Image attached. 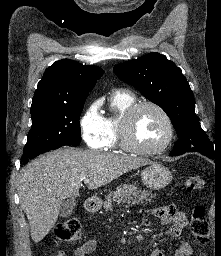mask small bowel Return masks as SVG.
Wrapping results in <instances>:
<instances>
[{
    "instance_id": "c3829d8e",
    "label": "small bowel",
    "mask_w": 221,
    "mask_h": 256,
    "mask_svg": "<svg viewBox=\"0 0 221 256\" xmlns=\"http://www.w3.org/2000/svg\"><path fill=\"white\" fill-rule=\"evenodd\" d=\"M151 213L159 218L162 224H171L167 231V235L179 239L177 248L175 249L174 256H192L193 249L191 245L182 238V232L187 224L185 215L178 211L174 205H166L153 209ZM99 245L96 239H90L83 242L78 246L73 256H87L94 252ZM57 256H64L63 252H60ZM151 256H165L164 253L159 249H154L151 252Z\"/></svg>"
}]
</instances>
